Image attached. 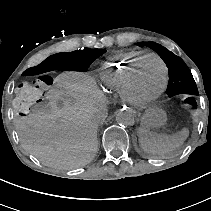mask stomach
<instances>
[{
	"mask_svg": "<svg viewBox=\"0 0 211 211\" xmlns=\"http://www.w3.org/2000/svg\"><path fill=\"white\" fill-rule=\"evenodd\" d=\"M166 113L159 108L148 109L142 117V125L145 128H158L165 124Z\"/></svg>",
	"mask_w": 211,
	"mask_h": 211,
	"instance_id": "1",
	"label": "stomach"
}]
</instances>
